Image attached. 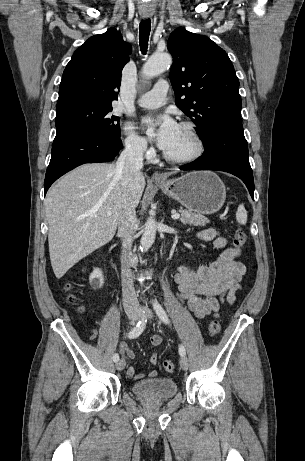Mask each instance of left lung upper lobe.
Wrapping results in <instances>:
<instances>
[{
    "label": "left lung upper lobe",
    "mask_w": 305,
    "mask_h": 461,
    "mask_svg": "<svg viewBox=\"0 0 305 461\" xmlns=\"http://www.w3.org/2000/svg\"><path fill=\"white\" fill-rule=\"evenodd\" d=\"M167 48L173 56L169 78L175 103L196 124L202 140L216 123L241 118L239 80L223 49L182 28L171 33Z\"/></svg>",
    "instance_id": "obj_1"
}]
</instances>
